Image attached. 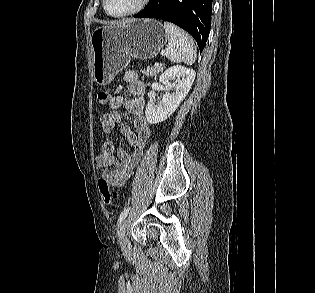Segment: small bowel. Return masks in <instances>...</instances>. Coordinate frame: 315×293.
Instances as JSON below:
<instances>
[{"label":"small bowel","mask_w":315,"mask_h":293,"mask_svg":"<svg viewBox=\"0 0 315 293\" xmlns=\"http://www.w3.org/2000/svg\"><path fill=\"white\" fill-rule=\"evenodd\" d=\"M123 82L127 85L131 98L125 99L121 95V89L111 94L108 100L110 110L101 115L100 123L106 134L112 133L115 125L122 119L120 109L124 106L133 115V122L132 127L125 125L120 131L133 146V151L128 153L122 148L116 149L111 141H105L101 153L95 159L97 167L102 172L101 178L113 187H120L127 180L151 135L149 124L143 115L144 83L134 71L125 72Z\"/></svg>","instance_id":"obj_1"}]
</instances>
